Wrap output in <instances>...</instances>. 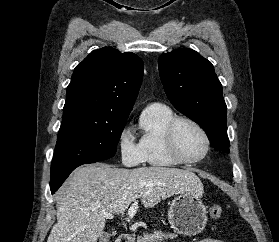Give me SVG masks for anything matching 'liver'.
Listing matches in <instances>:
<instances>
[{
  "label": "liver",
  "instance_id": "obj_1",
  "mask_svg": "<svg viewBox=\"0 0 279 242\" xmlns=\"http://www.w3.org/2000/svg\"><path fill=\"white\" fill-rule=\"evenodd\" d=\"M203 191L199 177L188 170L88 164L76 169L56 193L57 223L47 242H96L105 227L104 213H121L138 198L148 208L175 194L201 197Z\"/></svg>",
  "mask_w": 279,
  "mask_h": 242
}]
</instances>
